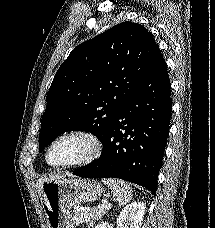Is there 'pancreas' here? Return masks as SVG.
<instances>
[{
	"label": "pancreas",
	"instance_id": "obj_1",
	"mask_svg": "<svg viewBox=\"0 0 215 228\" xmlns=\"http://www.w3.org/2000/svg\"><path fill=\"white\" fill-rule=\"evenodd\" d=\"M107 210L105 208H90V210H74L72 222L79 226V224H88L91 226L95 220H101L106 216Z\"/></svg>",
	"mask_w": 215,
	"mask_h": 228
}]
</instances>
